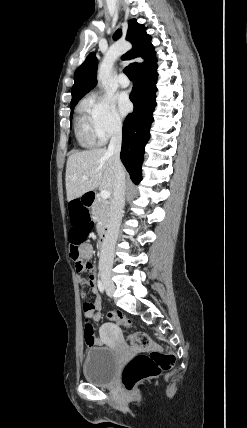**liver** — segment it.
<instances>
[{"label":"liver","mask_w":247,"mask_h":428,"mask_svg":"<svg viewBox=\"0 0 247 428\" xmlns=\"http://www.w3.org/2000/svg\"><path fill=\"white\" fill-rule=\"evenodd\" d=\"M83 176L88 178L83 179ZM115 179L114 159L105 148L76 152L67 160V200L77 199L98 187L113 191Z\"/></svg>","instance_id":"obj_1"}]
</instances>
